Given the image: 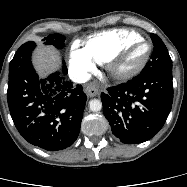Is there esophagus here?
I'll return each mask as SVG.
<instances>
[{
    "label": "esophagus",
    "instance_id": "1",
    "mask_svg": "<svg viewBox=\"0 0 187 187\" xmlns=\"http://www.w3.org/2000/svg\"><path fill=\"white\" fill-rule=\"evenodd\" d=\"M85 92L89 97H95L99 94V90L92 84H87L85 86Z\"/></svg>",
    "mask_w": 187,
    "mask_h": 187
}]
</instances>
